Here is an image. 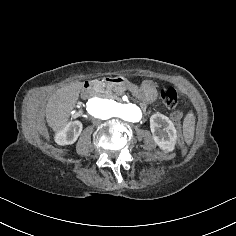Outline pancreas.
Listing matches in <instances>:
<instances>
[{
  "label": "pancreas",
  "instance_id": "cf45deb5",
  "mask_svg": "<svg viewBox=\"0 0 236 236\" xmlns=\"http://www.w3.org/2000/svg\"><path fill=\"white\" fill-rule=\"evenodd\" d=\"M97 84V89H98V96L101 98H107V99H117L119 100L120 97L119 95H122L125 91L126 88L123 86H115L114 88L110 85H103L102 82L100 81H95ZM115 92V93H113ZM141 108L143 110L147 109V103L144 101L139 102Z\"/></svg>",
  "mask_w": 236,
  "mask_h": 236
}]
</instances>
